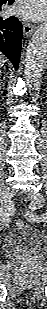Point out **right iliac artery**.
<instances>
[{
  "instance_id": "1",
  "label": "right iliac artery",
  "mask_w": 47,
  "mask_h": 309,
  "mask_svg": "<svg viewBox=\"0 0 47 309\" xmlns=\"http://www.w3.org/2000/svg\"><path fill=\"white\" fill-rule=\"evenodd\" d=\"M0 216L4 217V214L1 212V210H0ZM6 217H9V214H6Z\"/></svg>"
}]
</instances>
